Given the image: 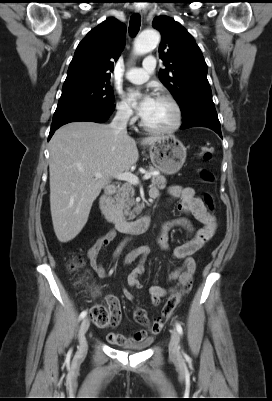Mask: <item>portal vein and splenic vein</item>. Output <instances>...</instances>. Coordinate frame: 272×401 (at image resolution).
<instances>
[{
    "mask_svg": "<svg viewBox=\"0 0 272 401\" xmlns=\"http://www.w3.org/2000/svg\"><path fill=\"white\" fill-rule=\"evenodd\" d=\"M95 177L101 178L102 175H101V173L97 172V173H95ZM150 177H151V174H145L143 176V179L148 180ZM115 178L118 180H121V181H126V182L134 184V185L139 184V178L135 174H132L131 172L118 173L115 175Z\"/></svg>",
    "mask_w": 272,
    "mask_h": 401,
    "instance_id": "portal-vein-and-splenic-vein-1",
    "label": "portal vein and splenic vein"
}]
</instances>
